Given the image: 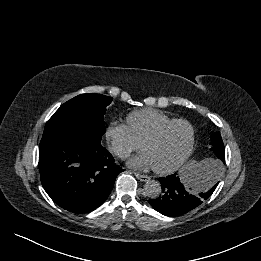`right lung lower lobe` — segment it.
Masks as SVG:
<instances>
[{
    "label": "right lung lower lobe",
    "instance_id": "1",
    "mask_svg": "<svg viewBox=\"0 0 261 261\" xmlns=\"http://www.w3.org/2000/svg\"><path fill=\"white\" fill-rule=\"evenodd\" d=\"M101 144L94 130L65 131L42 138L39 146L41 183L60 207L86 213L109 196L124 171Z\"/></svg>",
    "mask_w": 261,
    "mask_h": 261
}]
</instances>
